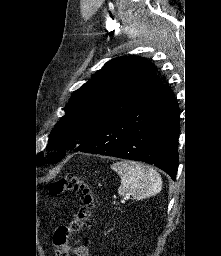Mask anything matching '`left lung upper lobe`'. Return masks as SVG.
Here are the masks:
<instances>
[{"label": "left lung upper lobe", "instance_id": "5c2ea615", "mask_svg": "<svg viewBox=\"0 0 221 256\" xmlns=\"http://www.w3.org/2000/svg\"><path fill=\"white\" fill-rule=\"evenodd\" d=\"M161 86L153 64L146 59L124 56L110 60L72 94L66 114L49 136L46 148L55 152L47 159L39 155V165L59 162L65 150H75Z\"/></svg>", "mask_w": 221, "mask_h": 256}]
</instances>
